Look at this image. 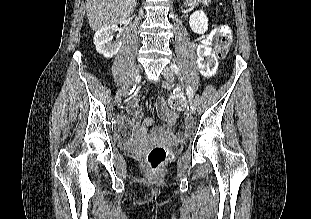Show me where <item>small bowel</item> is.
Segmentation results:
<instances>
[{
    "instance_id": "small-bowel-1",
    "label": "small bowel",
    "mask_w": 311,
    "mask_h": 219,
    "mask_svg": "<svg viewBox=\"0 0 311 219\" xmlns=\"http://www.w3.org/2000/svg\"><path fill=\"white\" fill-rule=\"evenodd\" d=\"M127 112L131 113L133 116V122L131 123V131H129L127 128L124 133H121L122 126L125 123V116L121 115L120 119L118 121V132L121 136H126L129 133H131L132 136L144 139L146 138L148 134V129L154 124V119L151 117L143 118L142 110L139 106V101L137 98H133L128 103ZM157 110L160 113V115L166 120V124L158 127L155 130V136H168V137H174L178 140H182L187 134L191 132V125L188 120H185L184 122V128L183 130L173 133L172 128L178 118V116L174 114H169V110L165 108V104L163 100L159 99L157 101Z\"/></svg>"
}]
</instances>
